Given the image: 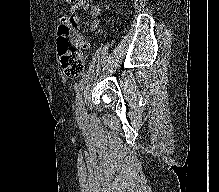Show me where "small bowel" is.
Segmentation results:
<instances>
[{
    "instance_id": "1",
    "label": "small bowel",
    "mask_w": 219,
    "mask_h": 192,
    "mask_svg": "<svg viewBox=\"0 0 219 192\" xmlns=\"http://www.w3.org/2000/svg\"><path fill=\"white\" fill-rule=\"evenodd\" d=\"M69 5L72 8L78 10L88 11L89 16L94 19L90 26V33L94 32L98 28L99 26L98 17L102 13V8L98 4L94 3L92 0H76L74 4L69 3ZM107 8L108 7H106V9ZM82 45L85 50H88L91 47V42L85 40L82 42Z\"/></svg>"
}]
</instances>
